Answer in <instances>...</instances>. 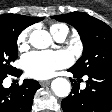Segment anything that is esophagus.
I'll return each instance as SVG.
<instances>
[{
    "label": "esophagus",
    "mask_w": 112,
    "mask_h": 112,
    "mask_svg": "<svg viewBox=\"0 0 112 112\" xmlns=\"http://www.w3.org/2000/svg\"><path fill=\"white\" fill-rule=\"evenodd\" d=\"M50 84V80H46V81H40V85L41 86H47V85H49Z\"/></svg>",
    "instance_id": "esophagus-1"
}]
</instances>
